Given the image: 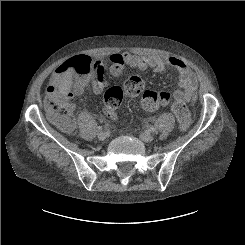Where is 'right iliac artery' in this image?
I'll return each mask as SVG.
<instances>
[{
	"label": "right iliac artery",
	"mask_w": 245,
	"mask_h": 245,
	"mask_svg": "<svg viewBox=\"0 0 245 245\" xmlns=\"http://www.w3.org/2000/svg\"><path fill=\"white\" fill-rule=\"evenodd\" d=\"M97 129H98V130H102V127H101V126H98Z\"/></svg>",
	"instance_id": "1"
}]
</instances>
